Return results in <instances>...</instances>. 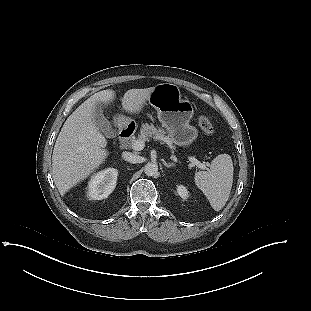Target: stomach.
<instances>
[{
    "mask_svg": "<svg viewBox=\"0 0 311 311\" xmlns=\"http://www.w3.org/2000/svg\"><path fill=\"white\" fill-rule=\"evenodd\" d=\"M155 108L164 133L178 147L188 148L198 137V129L190 124L193 103L182 98L180 91L169 85L158 86L148 100Z\"/></svg>",
    "mask_w": 311,
    "mask_h": 311,
    "instance_id": "1",
    "label": "stomach"
}]
</instances>
